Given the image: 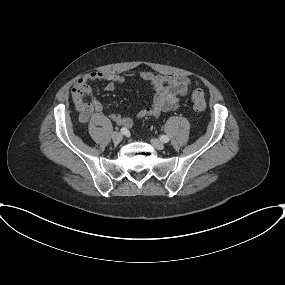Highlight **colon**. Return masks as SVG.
<instances>
[{"instance_id":"1","label":"colon","mask_w":285,"mask_h":285,"mask_svg":"<svg viewBox=\"0 0 285 285\" xmlns=\"http://www.w3.org/2000/svg\"><path fill=\"white\" fill-rule=\"evenodd\" d=\"M192 102H193V107L194 110L198 113L201 114L205 111L206 109V100L204 97V93L201 89L197 88L194 89L192 92Z\"/></svg>"}]
</instances>
